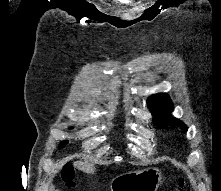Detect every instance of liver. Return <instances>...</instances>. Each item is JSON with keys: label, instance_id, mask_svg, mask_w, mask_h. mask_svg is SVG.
<instances>
[{"label": "liver", "instance_id": "1", "mask_svg": "<svg viewBox=\"0 0 221 191\" xmlns=\"http://www.w3.org/2000/svg\"><path fill=\"white\" fill-rule=\"evenodd\" d=\"M78 166L82 169V170H85L87 172H94L95 171V168L93 166V164L91 163H82V162H77Z\"/></svg>", "mask_w": 221, "mask_h": 191}]
</instances>
